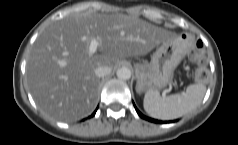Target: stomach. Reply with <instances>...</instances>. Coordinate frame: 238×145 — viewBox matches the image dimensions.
Returning <instances> with one entry per match:
<instances>
[{"mask_svg":"<svg viewBox=\"0 0 238 145\" xmlns=\"http://www.w3.org/2000/svg\"><path fill=\"white\" fill-rule=\"evenodd\" d=\"M195 43L191 33H180L176 38H168L158 44L150 63H138L137 92L159 91L169 85L175 68L181 59L191 54Z\"/></svg>","mask_w":238,"mask_h":145,"instance_id":"stomach-1","label":"stomach"}]
</instances>
